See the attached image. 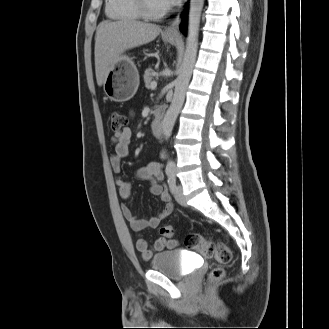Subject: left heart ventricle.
I'll return each mask as SVG.
<instances>
[{
	"label": "left heart ventricle",
	"instance_id": "left-heart-ventricle-1",
	"mask_svg": "<svg viewBox=\"0 0 329 329\" xmlns=\"http://www.w3.org/2000/svg\"><path fill=\"white\" fill-rule=\"evenodd\" d=\"M149 6L153 11H161L167 8L163 0H148Z\"/></svg>",
	"mask_w": 329,
	"mask_h": 329
}]
</instances>
